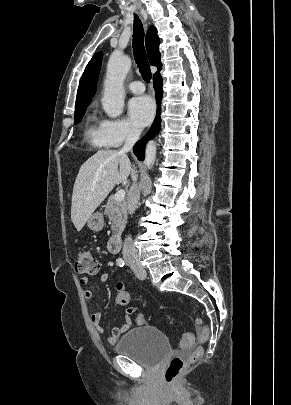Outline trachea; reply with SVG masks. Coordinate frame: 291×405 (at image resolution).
<instances>
[{
	"label": "trachea",
	"instance_id": "1",
	"mask_svg": "<svg viewBox=\"0 0 291 405\" xmlns=\"http://www.w3.org/2000/svg\"><path fill=\"white\" fill-rule=\"evenodd\" d=\"M133 52L140 73L146 82L151 80V70L144 47V29L137 15L134 17Z\"/></svg>",
	"mask_w": 291,
	"mask_h": 405
}]
</instances>
